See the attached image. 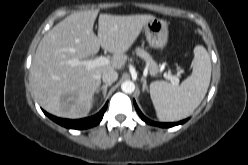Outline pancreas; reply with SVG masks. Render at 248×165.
Here are the masks:
<instances>
[{
  "label": "pancreas",
  "instance_id": "obj_1",
  "mask_svg": "<svg viewBox=\"0 0 248 165\" xmlns=\"http://www.w3.org/2000/svg\"><path fill=\"white\" fill-rule=\"evenodd\" d=\"M134 53L143 58L148 63V68L151 74L158 73V65L147 51H145L143 48L137 47Z\"/></svg>",
  "mask_w": 248,
  "mask_h": 165
}]
</instances>
